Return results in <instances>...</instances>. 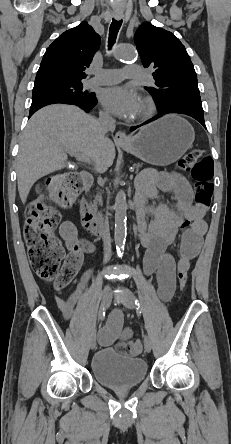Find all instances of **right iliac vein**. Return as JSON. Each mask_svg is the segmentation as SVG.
I'll use <instances>...</instances> for the list:
<instances>
[{
  "instance_id": "right-iliac-vein-1",
  "label": "right iliac vein",
  "mask_w": 231,
  "mask_h": 444,
  "mask_svg": "<svg viewBox=\"0 0 231 444\" xmlns=\"http://www.w3.org/2000/svg\"><path fill=\"white\" fill-rule=\"evenodd\" d=\"M108 290H109V288L106 287L104 292H103V294H102V299L103 300L107 298ZM107 304H108V300H106V302L102 301V303L100 305L99 315L103 312L104 308L107 307ZM90 347H91V349H95V347H96V333H95V330L92 332V335H91Z\"/></svg>"
}]
</instances>
